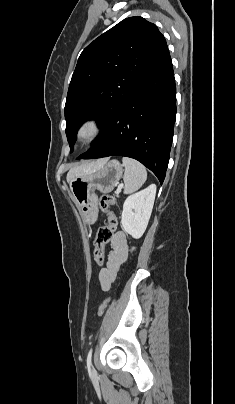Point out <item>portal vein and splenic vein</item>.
I'll use <instances>...</instances> for the list:
<instances>
[{"instance_id":"obj_1","label":"portal vein and splenic vein","mask_w":235,"mask_h":404,"mask_svg":"<svg viewBox=\"0 0 235 404\" xmlns=\"http://www.w3.org/2000/svg\"><path fill=\"white\" fill-rule=\"evenodd\" d=\"M121 189H122V186H118V188H117V192H120V191H121Z\"/></svg>"}]
</instances>
